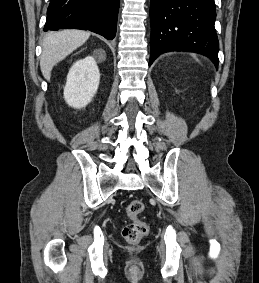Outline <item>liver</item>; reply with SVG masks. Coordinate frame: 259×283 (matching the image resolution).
<instances>
[{
  "mask_svg": "<svg viewBox=\"0 0 259 283\" xmlns=\"http://www.w3.org/2000/svg\"><path fill=\"white\" fill-rule=\"evenodd\" d=\"M89 37V32L77 29L48 33L42 43L40 59V69L44 78L49 81L53 67L83 45Z\"/></svg>",
  "mask_w": 259,
  "mask_h": 283,
  "instance_id": "obj_1",
  "label": "liver"
}]
</instances>
